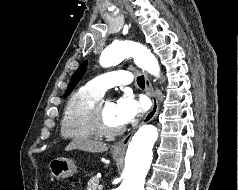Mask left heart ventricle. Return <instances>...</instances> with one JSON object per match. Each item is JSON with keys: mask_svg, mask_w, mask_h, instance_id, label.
Instances as JSON below:
<instances>
[{"mask_svg": "<svg viewBox=\"0 0 238 190\" xmlns=\"http://www.w3.org/2000/svg\"><path fill=\"white\" fill-rule=\"evenodd\" d=\"M104 113L107 123L112 127L123 125L117 114V104L114 100H107L104 104Z\"/></svg>", "mask_w": 238, "mask_h": 190, "instance_id": "1", "label": "left heart ventricle"}]
</instances>
